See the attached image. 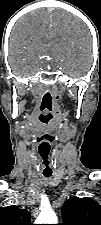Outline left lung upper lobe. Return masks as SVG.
<instances>
[{
  "label": "left lung upper lobe",
  "mask_w": 101,
  "mask_h": 225,
  "mask_svg": "<svg viewBox=\"0 0 101 225\" xmlns=\"http://www.w3.org/2000/svg\"><path fill=\"white\" fill-rule=\"evenodd\" d=\"M61 213L60 225H101V206L91 198H70Z\"/></svg>",
  "instance_id": "5c2ea615"
}]
</instances>
